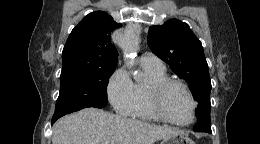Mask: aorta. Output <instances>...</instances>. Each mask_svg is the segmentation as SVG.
I'll return each mask as SVG.
<instances>
[{
  "label": "aorta",
  "mask_w": 260,
  "mask_h": 144,
  "mask_svg": "<svg viewBox=\"0 0 260 144\" xmlns=\"http://www.w3.org/2000/svg\"><path fill=\"white\" fill-rule=\"evenodd\" d=\"M121 48L124 52L126 59L130 60L131 54L135 53L139 49V34L135 31L126 32L121 39ZM136 79L139 78L138 75L134 74Z\"/></svg>",
  "instance_id": "1"
}]
</instances>
